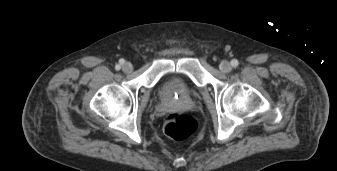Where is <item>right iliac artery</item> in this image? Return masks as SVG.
Listing matches in <instances>:
<instances>
[{
    "mask_svg": "<svg viewBox=\"0 0 337 171\" xmlns=\"http://www.w3.org/2000/svg\"><path fill=\"white\" fill-rule=\"evenodd\" d=\"M119 62H120V64H123V63H124V60L121 59ZM115 69H116V70H119V69H120V65H116V66H115Z\"/></svg>",
    "mask_w": 337,
    "mask_h": 171,
    "instance_id": "1",
    "label": "right iliac artery"
}]
</instances>
